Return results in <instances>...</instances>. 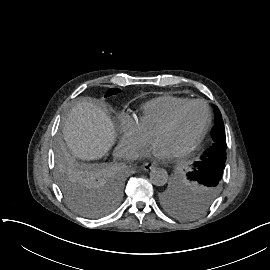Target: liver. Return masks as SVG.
Instances as JSON below:
<instances>
[{
  "label": "liver",
  "mask_w": 270,
  "mask_h": 270,
  "mask_svg": "<svg viewBox=\"0 0 270 270\" xmlns=\"http://www.w3.org/2000/svg\"><path fill=\"white\" fill-rule=\"evenodd\" d=\"M63 137L73 157L97 160L108 155L116 132L111 118L92 102H77L63 124Z\"/></svg>",
  "instance_id": "obj_1"
}]
</instances>
